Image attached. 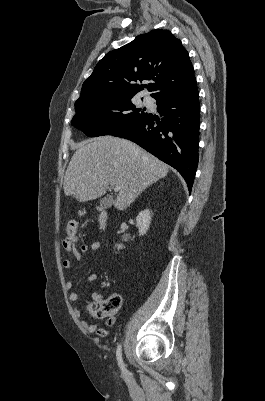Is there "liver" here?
Returning <instances> with one entry per match:
<instances>
[{
  "label": "liver",
  "instance_id": "6515ba94",
  "mask_svg": "<svg viewBox=\"0 0 265 401\" xmlns=\"http://www.w3.org/2000/svg\"><path fill=\"white\" fill-rule=\"evenodd\" d=\"M75 148L66 170L64 192L79 203L102 196L107 186L113 184L120 186L114 207L124 211L149 184L164 178L170 168L124 138H87L75 144Z\"/></svg>",
  "mask_w": 265,
  "mask_h": 401
}]
</instances>
